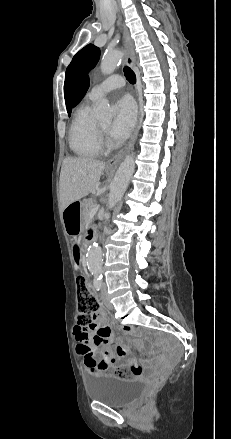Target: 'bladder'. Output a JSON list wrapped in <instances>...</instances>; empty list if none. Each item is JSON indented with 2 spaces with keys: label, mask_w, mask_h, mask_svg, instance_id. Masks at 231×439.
Segmentation results:
<instances>
[{
  "label": "bladder",
  "mask_w": 231,
  "mask_h": 439,
  "mask_svg": "<svg viewBox=\"0 0 231 439\" xmlns=\"http://www.w3.org/2000/svg\"><path fill=\"white\" fill-rule=\"evenodd\" d=\"M86 388L91 400L117 407L139 396L143 383L134 379H118L101 370L89 375Z\"/></svg>",
  "instance_id": "31cf9c89"
}]
</instances>
